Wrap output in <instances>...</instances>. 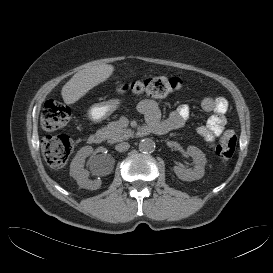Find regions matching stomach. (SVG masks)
<instances>
[{"mask_svg": "<svg viewBox=\"0 0 273 273\" xmlns=\"http://www.w3.org/2000/svg\"><path fill=\"white\" fill-rule=\"evenodd\" d=\"M120 106L118 99H110L92 105L88 111V116L92 121H101L109 117Z\"/></svg>", "mask_w": 273, "mask_h": 273, "instance_id": "obj_1", "label": "stomach"}]
</instances>
